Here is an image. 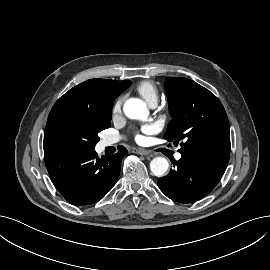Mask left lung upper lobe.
<instances>
[{
  "instance_id": "1",
  "label": "left lung upper lobe",
  "mask_w": 270,
  "mask_h": 270,
  "mask_svg": "<svg viewBox=\"0 0 270 270\" xmlns=\"http://www.w3.org/2000/svg\"><path fill=\"white\" fill-rule=\"evenodd\" d=\"M169 112L164 139L181 141L180 153L230 156V129L220 100L208 89L187 78L170 77L165 85Z\"/></svg>"
}]
</instances>
